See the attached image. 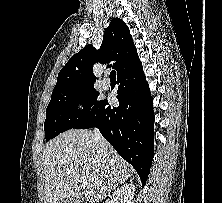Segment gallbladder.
Segmentation results:
<instances>
[{"mask_svg":"<svg viewBox=\"0 0 222 203\" xmlns=\"http://www.w3.org/2000/svg\"><path fill=\"white\" fill-rule=\"evenodd\" d=\"M60 203H84L81 198L73 197L62 200Z\"/></svg>","mask_w":222,"mask_h":203,"instance_id":"gallbladder-1","label":"gallbladder"}]
</instances>
